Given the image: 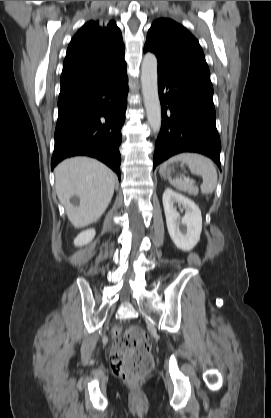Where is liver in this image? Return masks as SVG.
Masks as SVG:
<instances>
[{"mask_svg": "<svg viewBox=\"0 0 271 418\" xmlns=\"http://www.w3.org/2000/svg\"><path fill=\"white\" fill-rule=\"evenodd\" d=\"M116 175L103 163L88 157L64 160L55 168V187L60 203L75 228L96 222L107 209ZM78 196V207L70 198Z\"/></svg>", "mask_w": 271, "mask_h": 418, "instance_id": "6515ba94", "label": "liver"}]
</instances>
